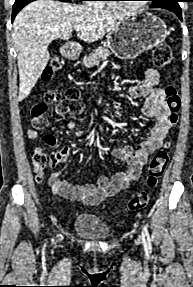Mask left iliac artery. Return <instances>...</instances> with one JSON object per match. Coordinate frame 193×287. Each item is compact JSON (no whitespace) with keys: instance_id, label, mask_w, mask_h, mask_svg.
<instances>
[{"instance_id":"44dca946","label":"left iliac artery","mask_w":193,"mask_h":287,"mask_svg":"<svg viewBox=\"0 0 193 287\" xmlns=\"http://www.w3.org/2000/svg\"><path fill=\"white\" fill-rule=\"evenodd\" d=\"M145 235L148 237V231H147V228L145 226H143V237Z\"/></svg>"}]
</instances>
